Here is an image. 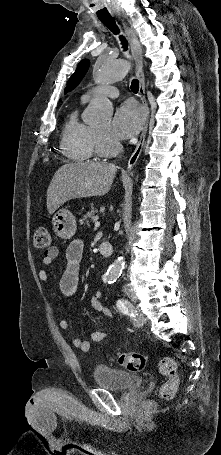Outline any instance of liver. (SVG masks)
Listing matches in <instances>:
<instances>
[{"mask_svg":"<svg viewBox=\"0 0 221 455\" xmlns=\"http://www.w3.org/2000/svg\"><path fill=\"white\" fill-rule=\"evenodd\" d=\"M117 167L105 162L66 163L54 174L47 190V209L53 214L65 202L102 196L111 188Z\"/></svg>","mask_w":221,"mask_h":455,"instance_id":"obj_1","label":"liver"}]
</instances>
